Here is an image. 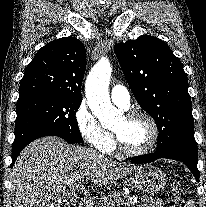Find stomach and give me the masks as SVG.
Here are the masks:
<instances>
[{"instance_id": "1", "label": "stomach", "mask_w": 206, "mask_h": 207, "mask_svg": "<svg viewBox=\"0 0 206 207\" xmlns=\"http://www.w3.org/2000/svg\"><path fill=\"white\" fill-rule=\"evenodd\" d=\"M133 188L148 194H155L163 190L167 183V176L160 168L153 165L138 166L129 179Z\"/></svg>"}]
</instances>
